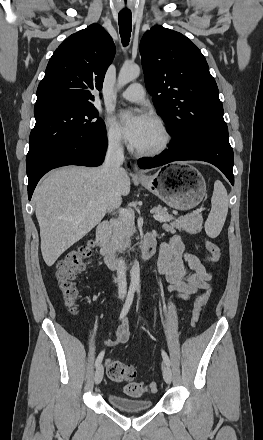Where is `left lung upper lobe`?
<instances>
[{
	"instance_id": "1",
	"label": "left lung upper lobe",
	"mask_w": 263,
	"mask_h": 440,
	"mask_svg": "<svg viewBox=\"0 0 263 440\" xmlns=\"http://www.w3.org/2000/svg\"><path fill=\"white\" fill-rule=\"evenodd\" d=\"M145 83L172 143L190 152L228 134L214 78L201 51L179 32L154 26L140 42Z\"/></svg>"
}]
</instances>
